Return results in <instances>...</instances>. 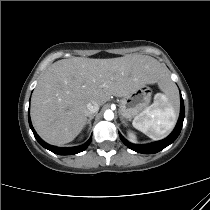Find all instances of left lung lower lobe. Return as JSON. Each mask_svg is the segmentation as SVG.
Returning a JSON list of instances; mask_svg holds the SVG:
<instances>
[{
  "mask_svg": "<svg viewBox=\"0 0 210 210\" xmlns=\"http://www.w3.org/2000/svg\"><path fill=\"white\" fill-rule=\"evenodd\" d=\"M184 102L181 96V111H180V117L179 120L177 122V125L174 129V131L164 140L158 141V142H154L151 144H146V145H134L132 143H129L127 140H125L122 135H120L121 140L123 141V143L130 148L131 150H134L138 153H143V154H153V153H157L161 150H163L165 147H167L168 145H170L171 143H173L176 138L178 137V135L181 132L182 129V125H183V120H184Z\"/></svg>",
  "mask_w": 210,
  "mask_h": 210,
  "instance_id": "0a47b994",
  "label": "left lung lower lobe"
}]
</instances>
